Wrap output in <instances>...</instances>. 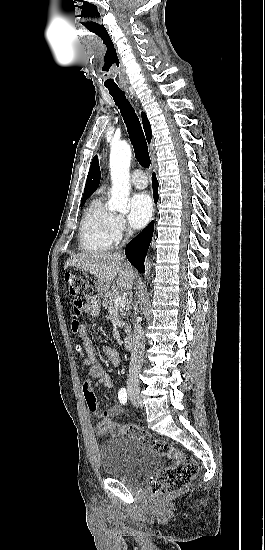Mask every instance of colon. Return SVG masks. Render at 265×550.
<instances>
[{"label": "colon", "instance_id": "1", "mask_svg": "<svg viewBox=\"0 0 265 550\" xmlns=\"http://www.w3.org/2000/svg\"><path fill=\"white\" fill-rule=\"evenodd\" d=\"M64 280L74 299L72 311L75 315H80L84 312V301L92 295V288L85 278L74 273H66ZM97 433L101 437L108 435L134 437L142 444L149 446L159 456L173 461L170 467L156 474L152 484V493L155 496L177 493L198 474L199 465L193 458L136 425H121L109 418H102L97 424Z\"/></svg>", "mask_w": 265, "mask_h": 550}]
</instances>
